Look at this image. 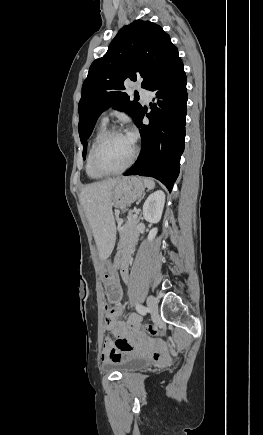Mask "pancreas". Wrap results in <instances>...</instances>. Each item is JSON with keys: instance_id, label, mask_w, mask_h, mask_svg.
<instances>
[{"instance_id": "pancreas-1", "label": "pancreas", "mask_w": 263, "mask_h": 435, "mask_svg": "<svg viewBox=\"0 0 263 435\" xmlns=\"http://www.w3.org/2000/svg\"><path fill=\"white\" fill-rule=\"evenodd\" d=\"M139 219L133 217V213L129 212L126 223L120 228V243H128L138 239L139 233L136 229Z\"/></svg>"}]
</instances>
